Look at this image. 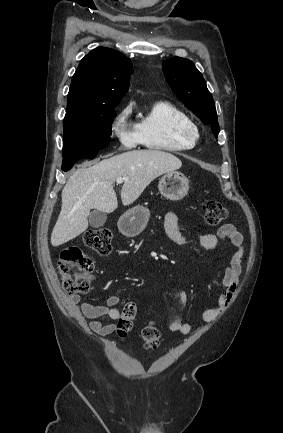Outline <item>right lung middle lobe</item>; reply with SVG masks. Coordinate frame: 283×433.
I'll use <instances>...</instances> for the list:
<instances>
[{
	"mask_svg": "<svg viewBox=\"0 0 283 433\" xmlns=\"http://www.w3.org/2000/svg\"><path fill=\"white\" fill-rule=\"evenodd\" d=\"M115 105L79 106L67 109L64 118L63 155L97 154L110 142Z\"/></svg>",
	"mask_w": 283,
	"mask_h": 433,
	"instance_id": "right-lung-middle-lobe-1",
	"label": "right lung middle lobe"
}]
</instances>
